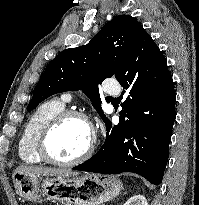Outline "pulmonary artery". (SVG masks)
<instances>
[{"instance_id": "pulmonary-artery-1", "label": "pulmonary artery", "mask_w": 199, "mask_h": 205, "mask_svg": "<svg viewBox=\"0 0 199 205\" xmlns=\"http://www.w3.org/2000/svg\"><path fill=\"white\" fill-rule=\"evenodd\" d=\"M104 90L106 93L109 94H117L119 92L118 86H105ZM62 100L66 103L70 102L72 100V94L71 93H65L62 97Z\"/></svg>"}]
</instances>
